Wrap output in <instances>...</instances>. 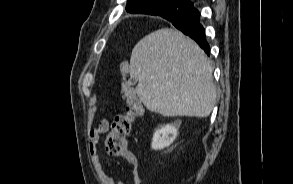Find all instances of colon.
Instances as JSON below:
<instances>
[{
  "mask_svg": "<svg viewBox=\"0 0 293 184\" xmlns=\"http://www.w3.org/2000/svg\"><path fill=\"white\" fill-rule=\"evenodd\" d=\"M119 68L123 77L122 90L126 97V106L122 113L115 116L111 124L106 139V150L111 155L124 156L127 160H132L134 158L126 148L124 137L131 132L135 120L143 115V107L126 80L129 73L128 61H121Z\"/></svg>",
  "mask_w": 293,
  "mask_h": 184,
  "instance_id": "colon-1",
  "label": "colon"
}]
</instances>
